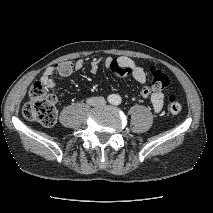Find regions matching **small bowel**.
Returning <instances> with one entry per match:
<instances>
[{"label": "small bowel", "mask_w": 213, "mask_h": 213, "mask_svg": "<svg viewBox=\"0 0 213 213\" xmlns=\"http://www.w3.org/2000/svg\"><path fill=\"white\" fill-rule=\"evenodd\" d=\"M114 62H118L120 64H126L130 66L131 76L133 77L134 80H136L138 83L142 85L140 89V94L143 97L150 99L154 112L156 113L160 112L164 105V94L161 91L156 90L153 87H150L147 85V74L145 70L142 67L136 65L130 58H127V57H107L104 60V66L107 69H111L112 64ZM99 65H100L99 60H96V59L93 60L90 63V72L92 74L97 73L99 69ZM74 66L76 70H81L84 66L83 60L81 59L77 60ZM56 68L53 66L47 67L41 76V83L48 88H55L56 86L54 78H53V74Z\"/></svg>", "instance_id": "small-bowel-1"}]
</instances>
